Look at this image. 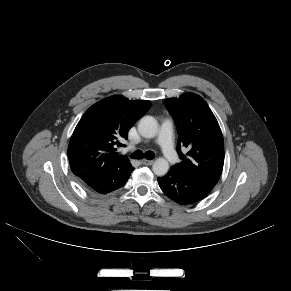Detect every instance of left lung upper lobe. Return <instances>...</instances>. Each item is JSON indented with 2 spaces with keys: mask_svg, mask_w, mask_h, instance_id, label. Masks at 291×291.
<instances>
[{
  "mask_svg": "<svg viewBox=\"0 0 291 291\" xmlns=\"http://www.w3.org/2000/svg\"><path fill=\"white\" fill-rule=\"evenodd\" d=\"M179 132L177 151L182 162L172 166L183 174L215 186L224 164V142L219 124L207 103L197 94L166 99ZM181 146L189 151L181 153Z\"/></svg>",
  "mask_w": 291,
  "mask_h": 291,
  "instance_id": "left-lung-upper-lobe-1",
  "label": "left lung upper lobe"
}]
</instances>
